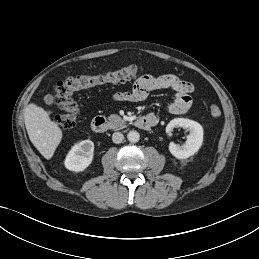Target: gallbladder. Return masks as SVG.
Segmentation results:
<instances>
[{
  "label": "gallbladder",
  "mask_w": 259,
  "mask_h": 259,
  "mask_svg": "<svg viewBox=\"0 0 259 259\" xmlns=\"http://www.w3.org/2000/svg\"><path fill=\"white\" fill-rule=\"evenodd\" d=\"M55 101L54 97L52 95H46L44 97V102L47 104V105H51L53 104Z\"/></svg>",
  "instance_id": "obj_1"
}]
</instances>
